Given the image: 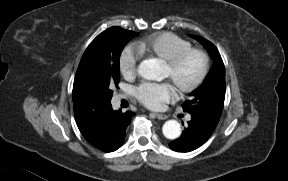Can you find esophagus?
Instances as JSON below:
<instances>
[{
	"label": "esophagus",
	"mask_w": 288,
	"mask_h": 181,
	"mask_svg": "<svg viewBox=\"0 0 288 181\" xmlns=\"http://www.w3.org/2000/svg\"><path fill=\"white\" fill-rule=\"evenodd\" d=\"M154 115H155V116H156V118H157V119H159V120H165V119H167V118H168V116H167V115H165V114L154 113Z\"/></svg>",
	"instance_id": "1"
}]
</instances>
